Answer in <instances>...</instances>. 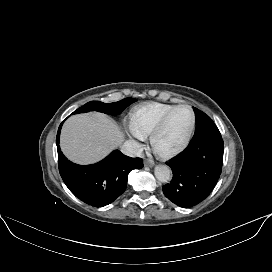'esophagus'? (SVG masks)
<instances>
[{"label":"esophagus","instance_id":"esophagus-1","mask_svg":"<svg viewBox=\"0 0 272 272\" xmlns=\"http://www.w3.org/2000/svg\"><path fill=\"white\" fill-rule=\"evenodd\" d=\"M144 165H145L146 167H152V166H154V161H153V160H150V159H145Z\"/></svg>","mask_w":272,"mask_h":272}]
</instances>
